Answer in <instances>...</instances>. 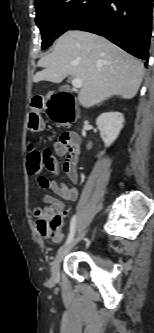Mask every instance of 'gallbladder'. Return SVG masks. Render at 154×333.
I'll return each instance as SVG.
<instances>
[{"label":"gallbladder","mask_w":154,"mask_h":333,"mask_svg":"<svg viewBox=\"0 0 154 333\" xmlns=\"http://www.w3.org/2000/svg\"><path fill=\"white\" fill-rule=\"evenodd\" d=\"M60 91H67V87H66V86H62V87L60 88Z\"/></svg>","instance_id":"obj_1"}]
</instances>
